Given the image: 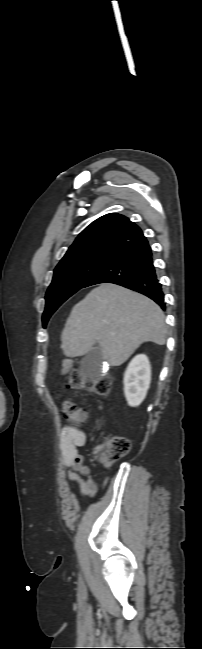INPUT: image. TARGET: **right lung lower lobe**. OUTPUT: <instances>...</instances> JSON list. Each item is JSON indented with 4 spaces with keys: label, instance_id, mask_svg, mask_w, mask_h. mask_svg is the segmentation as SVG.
Segmentation results:
<instances>
[{
    "label": "right lung lower lobe",
    "instance_id": "1",
    "mask_svg": "<svg viewBox=\"0 0 202 649\" xmlns=\"http://www.w3.org/2000/svg\"><path fill=\"white\" fill-rule=\"evenodd\" d=\"M99 283H114L142 293L165 310L162 285L157 279L152 251L146 238L115 254L91 276L83 288Z\"/></svg>",
    "mask_w": 202,
    "mask_h": 649
}]
</instances>
